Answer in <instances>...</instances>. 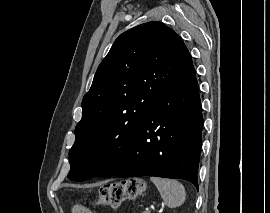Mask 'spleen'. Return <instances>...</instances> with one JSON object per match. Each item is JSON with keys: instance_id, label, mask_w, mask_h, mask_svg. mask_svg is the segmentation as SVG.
Listing matches in <instances>:
<instances>
[{"instance_id": "1", "label": "spleen", "mask_w": 270, "mask_h": 213, "mask_svg": "<svg viewBox=\"0 0 270 213\" xmlns=\"http://www.w3.org/2000/svg\"><path fill=\"white\" fill-rule=\"evenodd\" d=\"M150 180L155 184L168 207H179L185 202V189L177 180L158 177H151Z\"/></svg>"}]
</instances>
